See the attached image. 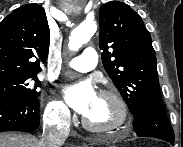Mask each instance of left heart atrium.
I'll list each match as a JSON object with an SVG mask.
<instances>
[{
	"label": "left heart atrium",
	"instance_id": "obj_1",
	"mask_svg": "<svg viewBox=\"0 0 183 147\" xmlns=\"http://www.w3.org/2000/svg\"><path fill=\"white\" fill-rule=\"evenodd\" d=\"M65 99L78 113L85 115L97 97V93L90 80L66 85L63 88Z\"/></svg>",
	"mask_w": 183,
	"mask_h": 147
}]
</instances>
